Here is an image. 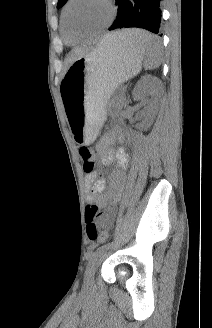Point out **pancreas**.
Wrapping results in <instances>:
<instances>
[{
    "label": "pancreas",
    "instance_id": "1",
    "mask_svg": "<svg viewBox=\"0 0 212 328\" xmlns=\"http://www.w3.org/2000/svg\"><path fill=\"white\" fill-rule=\"evenodd\" d=\"M124 103V98L123 95L120 94L119 96H115L111 102H110V107L114 108L115 111H118Z\"/></svg>",
    "mask_w": 212,
    "mask_h": 328
}]
</instances>
